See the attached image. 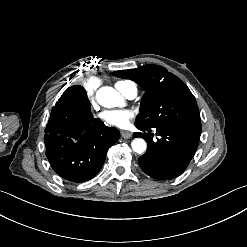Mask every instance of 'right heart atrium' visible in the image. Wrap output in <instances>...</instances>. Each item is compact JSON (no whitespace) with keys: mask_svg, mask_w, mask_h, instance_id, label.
Masks as SVG:
<instances>
[{"mask_svg":"<svg viewBox=\"0 0 247 247\" xmlns=\"http://www.w3.org/2000/svg\"><path fill=\"white\" fill-rule=\"evenodd\" d=\"M103 86V79L100 76H93L90 82H86L83 85V92L86 95H93L96 89H100Z\"/></svg>","mask_w":247,"mask_h":247,"instance_id":"1","label":"right heart atrium"}]
</instances>
